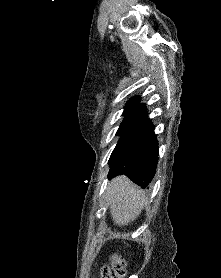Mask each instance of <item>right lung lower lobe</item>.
Here are the masks:
<instances>
[{
	"instance_id": "right-lung-lower-lobe-1",
	"label": "right lung lower lobe",
	"mask_w": 221,
	"mask_h": 278,
	"mask_svg": "<svg viewBox=\"0 0 221 278\" xmlns=\"http://www.w3.org/2000/svg\"><path fill=\"white\" fill-rule=\"evenodd\" d=\"M158 145L150 120L125 144L113 151L110 159V176L125 174L133 182L146 188L155 175Z\"/></svg>"
}]
</instances>
